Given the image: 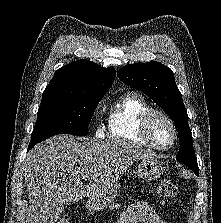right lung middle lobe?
Returning a JSON list of instances; mask_svg holds the SVG:
<instances>
[{
  "mask_svg": "<svg viewBox=\"0 0 221 223\" xmlns=\"http://www.w3.org/2000/svg\"><path fill=\"white\" fill-rule=\"evenodd\" d=\"M100 100L75 98L41 102L29 146L33 147L56 134L86 136Z\"/></svg>",
  "mask_w": 221,
  "mask_h": 223,
  "instance_id": "obj_1",
  "label": "right lung middle lobe"
}]
</instances>
